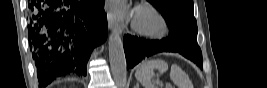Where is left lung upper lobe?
<instances>
[{"label":"left lung upper lobe","instance_id":"obj_1","mask_svg":"<svg viewBox=\"0 0 267 88\" xmlns=\"http://www.w3.org/2000/svg\"><path fill=\"white\" fill-rule=\"evenodd\" d=\"M159 6L162 16L170 30L188 31L197 34L193 0H148Z\"/></svg>","mask_w":267,"mask_h":88}]
</instances>
